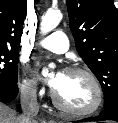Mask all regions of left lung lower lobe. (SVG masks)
Masks as SVG:
<instances>
[{
  "instance_id": "left-lung-lower-lobe-1",
  "label": "left lung lower lobe",
  "mask_w": 118,
  "mask_h": 123,
  "mask_svg": "<svg viewBox=\"0 0 118 123\" xmlns=\"http://www.w3.org/2000/svg\"><path fill=\"white\" fill-rule=\"evenodd\" d=\"M102 120H114L118 121V104L104 109L99 116L86 118L80 121L74 122H84V121H102Z\"/></svg>"
}]
</instances>
